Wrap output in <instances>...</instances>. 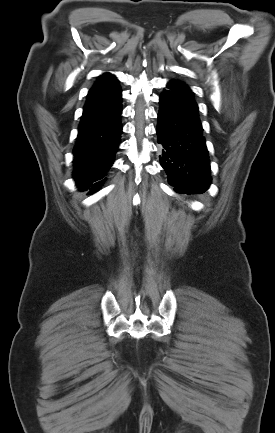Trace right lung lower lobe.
Returning <instances> with one entry per match:
<instances>
[{
    "label": "right lung lower lobe",
    "instance_id": "obj_1",
    "mask_svg": "<svg viewBox=\"0 0 275 433\" xmlns=\"http://www.w3.org/2000/svg\"><path fill=\"white\" fill-rule=\"evenodd\" d=\"M121 113L117 81L90 89L74 147L73 177L80 190L96 191L104 182L120 142Z\"/></svg>",
    "mask_w": 275,
    "mask_h": 433
}]
</instances>
